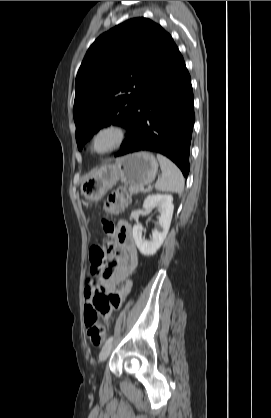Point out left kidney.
<instances>
[{
    "mask_svg": "<svg viewBox=\"0 0 271 418\" xmlns=\"http://www.w3.org/2000/svg\"><path fill=\"white\" fill-rule=\"evenodd\" d=\"M173 197L171 195H149L143 202V209L148 211L157 204L160 210V216L158 217V228L152 231V238L147 241L143 238V227L140 223H137L133 227V238L135 243L144 256H152L163 244L172 220L173 215Z\"/></svg>",
    "mask_w": 271,
    "mask_h": 418,
    "instance_id": "left-kidney-1",
    "label": "left kidney"
}]
</instances>
